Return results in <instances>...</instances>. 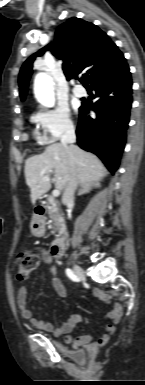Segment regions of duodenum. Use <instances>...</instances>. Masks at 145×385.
<instances>
[{
	"instance_id": "410a0bca",
	"label": "duodenum",
	"mask_w": 145,
	"mask_h": 385,
	"mask_svg": "<svg viewBox=\"0 0 145 385\" xmlns=\"http://www.w3.org/2000/svg\"><path fill=\"white\" fill-rule=\"evenodd\" d=\"M37 218L34 220L35 226H40L42 224V219L45 214V208L40 206L36 209ZM65 238H66V230L65 228L62 231V234L59 238H57L51 246V254L54 257H60L63 254L64 246H65Z\"/></svg>"
}]
</instances>
